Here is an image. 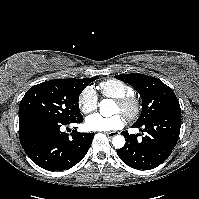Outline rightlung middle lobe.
Here are the masks:
<instances>
[{
	"instance_id": "1",
	"label": "right lung middle lobe",
	"mask_w": 199,
	"mask_h": 199,
	"mask_svg": "<svg viewBox=\"0 0 199 199\" xmlns=\"http://www.w3.org/2000/svg\"><path fill=\"white\" fill-rule=\"evenodd\" d=\"M97 77L84 79H56L31 87L19 106V118L36 115L62 122L82 117L78 106L82 90Z\"/></svg>"
}]
</instances>
